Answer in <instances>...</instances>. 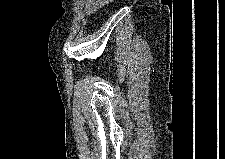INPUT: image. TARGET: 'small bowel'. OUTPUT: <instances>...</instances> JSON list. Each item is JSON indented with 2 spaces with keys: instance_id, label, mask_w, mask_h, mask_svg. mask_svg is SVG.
I'll use <instances>...</instances> for the list:
<instances>
[{
  "instance_id": "small-bowel-1",
  "label": "small bowel",
  "mask_w": 225,
  "mask_h": 159,
  "mask_svg": "<svg viewBox=\"0 0 225 159\" xmlns=\"http://www.w3.org/2000/svg\"><path fill=\"white\" fill-rule=\"evenodd\" d=\"M104 4H105V1L104 0H90L86 4L85 11L88 14H92L96 10H98L99 8H101Z\"/></svg>"
}]
</instances>
